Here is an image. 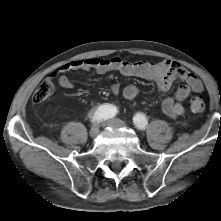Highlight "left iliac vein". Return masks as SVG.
<instances>
[{"mask_svg":"<svg viewBox=\"0 0 221 221\" xmlns=\"http://www.w3.org/2000/svg\"><path fill=\"white\" fill-rule=\"evenodd\" d=\"M105 124L108 125V126H111L113 128H116V129L123 128V127L127 126L125 122H123L120 119H116V118L108 120Z\"/></svg>","mask_w":221,"mask_h":221,"instance_id":"left-iliac-vein-1","label":"left iliac vein"}]
</instances>
